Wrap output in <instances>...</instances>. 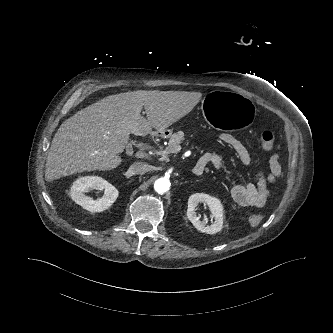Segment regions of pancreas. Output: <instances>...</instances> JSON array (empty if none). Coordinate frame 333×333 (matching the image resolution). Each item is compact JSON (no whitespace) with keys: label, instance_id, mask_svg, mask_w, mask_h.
<instances>
[{"label":"pancreas","instance_id":"obj_1","mask_svg":"<svg viewBox=\"0 0 333 333\" xmlns=\"http://www.w3.org/2000/svg\"><path fill=\"white\" fill-rule=\"evenodd\" d=\"M184 133L182 131H178L174 133L166 147L165 151L167 155L170 153H177L180 150V143L184 141ZM166 157V156H165Z\"/></svg>","mask_w":333,"mask_h":333}]
</instances>
